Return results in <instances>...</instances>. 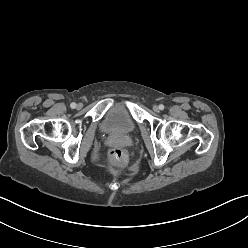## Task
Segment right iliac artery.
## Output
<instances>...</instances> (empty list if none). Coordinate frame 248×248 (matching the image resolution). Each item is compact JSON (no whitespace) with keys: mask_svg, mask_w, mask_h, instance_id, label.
<instances>
[{"mask_svg":"<svg viewBox=\"0 0 248 248\" xmlns=\"http://www.w3.org/2000/svg\"><path fill=\"white\" fill-rule=\"evenodd\" d=\"M70 106H71V108H73V109H74V108L76 107V104H75V103H71V105H70Z\"/></svg>","mask_w":248,"mask_h":248,"instance_id":"1","label":"right iliac artery"}]
</instances>
